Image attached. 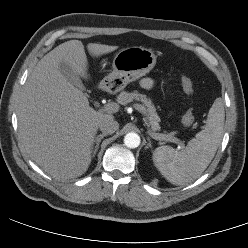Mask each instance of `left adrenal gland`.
Here are the masks:
<instances>
[{
  "instance_id": "a2214340",
  "label": "left adrenal gland",
  "mask_w": 248,
  "mask_h": 248,
  "mask_svg": "<svg viewBox=\"0 0 248 248\" xmlns=\"http://www.w3.org/2000/svg\"><path fill=\"white\" fill-rule=\"evenodd\" d=\"M147 140H148V144L146 145L145 148H151L152 145H151V140H150V138L148 137Z\"/></svg>"
}]
</instances>
